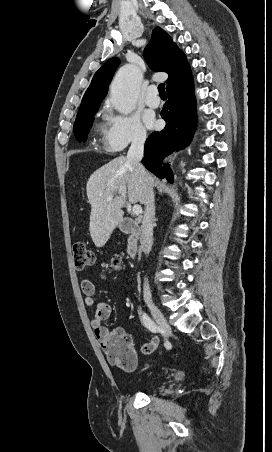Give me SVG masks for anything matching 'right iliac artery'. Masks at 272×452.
I'll return each instance as SVG.
<instances>
[{
    "mask_svg": "<svg viewBox=\"0 0 272 452\" xmlns=\"http://www.w3.org/2000/svg\"><path fill=\"white\" fill-rule=\"evenodd\" d=\"M142 322L151 332L157 333L159 331L157 324L146 313L142 315Z\"/></svg>",
    "mask_w": 272,
    "mask_h": 452,
    "instance_id": "1",
    "label": "right iliac artery"
}]
</instances>
